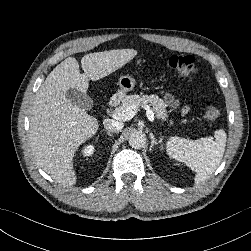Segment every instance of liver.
I'll return each mask as SVG.
<instances>
[{"mask_svg":"<svg viewBox=\"0 0 251 251\" xmlns=\"http://www.w3.org/2000/svg\"><path fill=\"white\" fill-rule=\"evenodd\" d=\"M136 55L134 49L86 54L81 59L83 74L78 61L68 57L39 88L31 108L29 142L37 164L58 183L76 184L74 155L99 127L96 118L66 98V92L73 88L87 94L89 80L108 76Z\"/></svg>","mask_w":251,"mask_h":251,"instance_id":"obj_1","label":"liver"}]
</instances>
